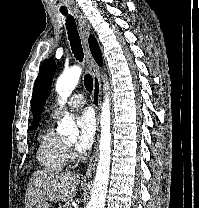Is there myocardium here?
Instances as JSON below:
<instances>
[{"instance_id": "1", "label": "myocardium", "mask_w": 199, "mask_h": 208, "mask_svg": "<svg viewBox=\"0 0 199 208\" xmlns=\"http://www.w3.org/2000/svg\"><path fill=\"white\" fill-rule=\"evenodd\" d=\"M69 146H71V147H72V145H71V144H69ZM72 150H73V149H72ZM71 154H72V156H73V157L77 156V154L75 153V151H72V153H71Z\"/></svg>"}]
</instances>
